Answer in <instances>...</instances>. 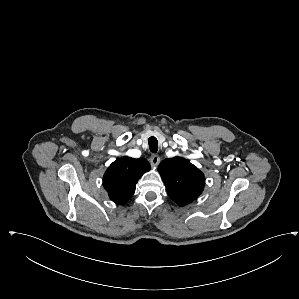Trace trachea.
<instances>
[{
	"instance_id": "3493384b",
	"label": "trachea",
	"mask_w": 299,
	"mask_h": 299,
	"mask_svg": "<svg viewBox=\"0 0 299 299\" xmlns=\"http://www.w3.org/2000/svg\"><path fill=\"white\" fill-rule=\"evenodd\" d=\"M149 148L152 153H156L158 151V141L154 136H151L148 139Z\"/></svg>"
}]
</instances>
